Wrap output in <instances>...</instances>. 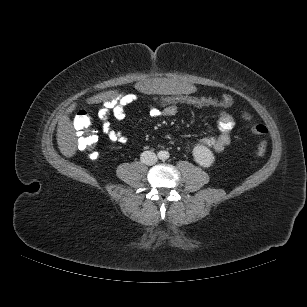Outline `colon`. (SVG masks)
<instances>
[{
    "label": "colon",
    "mask_w": 307,
    "mask_h": 307,
    "mask_svg": "<svg viewBox=\"0 0 307 307\" xmlns=\"http://www.w3.org/2000/svg\"><path fill=\"white\" fill-rule=\"evenodd\" d=\"M149 106L164 108L172 105H190L195 107H229L233 104V98L229 94H223L220 97L191 94H173L166 96H151L145 99ZM241 116L250 123L253 132L260 136L268 134V128L253 119L252 114L247 108L240 109ZM74 128L77 131L78 145L83 151H86L91 158H96V145L98 136L95 131L91 130V117L84 111H79L73 121ZM266 151V142L261 140L255 148L257 156H263Z\"/></svg>",
    "instance_id": "obj_1"
}]
</instances>
